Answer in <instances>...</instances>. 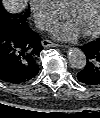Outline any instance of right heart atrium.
Returning a JSON list of instances; mask_svg holds the SVG:
<instances>
[{"label": "right heart atrium", "instance_id": "d8ad5b80", "mask_svg": "<svg viewBox=\"0 0 100 118\" xmlns=\"http://www.w3.org/2000/svg\"><path fill=\"white\" fill-rule=\"evenodd\" d=\"M36 25L41 29L50 27L63 16L54 0H29Z\"/></svg>", "mask_w": 100, "mask_h": 118}]
</instances>
